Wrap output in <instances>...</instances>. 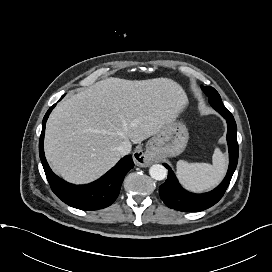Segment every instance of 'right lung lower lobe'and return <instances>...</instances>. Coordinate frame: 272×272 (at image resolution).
Masks as SVG:
<instances>
[{"label":"right lung lower lobe","instance_id":"right-lung-lower-lobe-1","mask_svg":"<svg viewBox=\"0 0 272 272\" xmlns=\"http://www.w3.org/2000/svg\"><path fill=\"white\" fill-rule=\"evenodd\" d=\"M55 105L44 116L39 140L40 159L52 191L64 203L77 209L97 210L108 207L118 197L125 175L134 166L132 156H125L101 178L87 185H73L60 179L50 169L43 148L45 124Z\"/></svg>","mask_w":272,"mask_h":272}]
</instances>
